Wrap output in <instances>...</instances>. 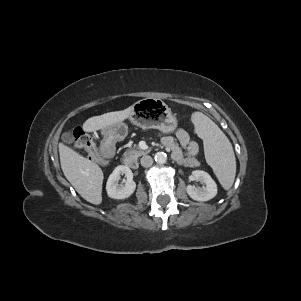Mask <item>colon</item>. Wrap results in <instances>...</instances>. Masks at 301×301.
Listing matches in <instances>:
<instances>
[{
    "instance_id": "colon-1",
    "label": "colon",
    "mask_w": 301,
    "mask_h": 301,
    "mask_svg": "<svg viewBox=\"0 0 301 301\" xmlns=\"http://www.w3.org/2000/svg\"><path fill=\"white\" fill-rule=\"evenodd\" d=\"M70 135L73 144L83 149L89 159L102 165L107 163L100 158L95 142L83 129L74 128L70 131Z\"/></svg>"
}]
</instances>
